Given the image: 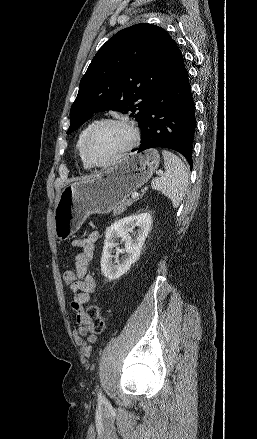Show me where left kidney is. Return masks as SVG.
Here are the masks:
<instances>
[{
	"label": "left kidney",
	"mask_w": 257,
	"mask_h": 439,
	"mask_svg": "<svg viewBox=\"0 0 257 439\" xmlns=\"http://www.w3.org/2000/svg\"><path fill=\"white\" fill-rule=\"evenodd\" d=\"M151 224V215L145 212L122 218L107 229L101 258V272L105 278L109 280L120 278L138 260L142 246L150 232ZM135 227H138V230L133 233L134 237L132 238L129 233L133 232ZM118 238H121L125 245L124 252L126 254L121 262L112 255L113 248L118 245L115 243Z\"/></svg>",
	"instance_id": "left-kidney-1"
}]
</instances>
